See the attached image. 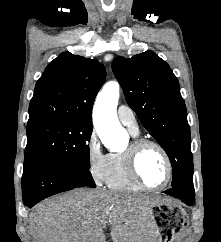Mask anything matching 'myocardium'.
Instances as JSON below:
<instances>
[{
    "instance_id": "1",
    "label": "myocardium",
    "mask_w": 221,
    "mask_h": 242,
    "mask_svg": "<svg viewBox=\"0 0 221 242\" xmlns=\"http://www.w3.org/2000/svg\"><path fill=\"white\" fill-rule=\"evenodd\" d=\"M148 146H153L157 148L162 156L165 159L167 167V177L165 182L160 186H150L144 182L142 179L139 170H138V159L141 152ZM124 157L126 161V166L129 172V175L135 183H137L141 188L150 190V191H160L166 188L173 177V165L170 159V156L166 149L157 141L147 138H136L134 139L129 147L124 152Z\"/></svg>"
}]
</instances>
